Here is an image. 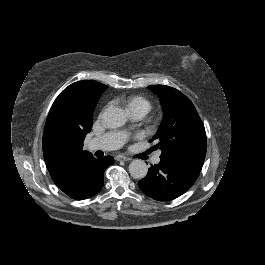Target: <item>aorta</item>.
<instances>
[{
  "mask_svg": "<svg viewBox=\"0 0 265 265\" xmlns=\"http://www.w3.org/2000/svg\"><path fill=\"white\" fill-rule=\"evenodd\" d=\"M127 121L126 115L121 108L109 107L102 114V123L108 128H118ZM148 166L141 159H135L129 164V173L135 179H142L147 175Z\"/></svg>",
  "mask_w": 265,
  "mask_h": 265,
  "instance_id": "obj_1",
  "label": "aorta"
}]
</instances>
